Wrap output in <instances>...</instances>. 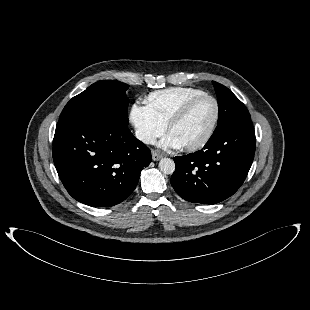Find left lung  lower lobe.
I'll return each instance as SVG.
<instances>
[{"label":"left lung lower lobe","mask_w":310,"mask_h":310,"mask_svg":"<svg viewBox=\"0 0 310 310\" xmlns=\"http://www.w3.org/2000/svg\"><path fill=\"white\" fill-rule=\"evenodd\" d=\"M255 144L252 122L246 120L211 137L202 150L175 157L171 185L189 202H221L244 182L254 159Z\"/></svg>","instance_id":"0a47b994"}]
</instances>
